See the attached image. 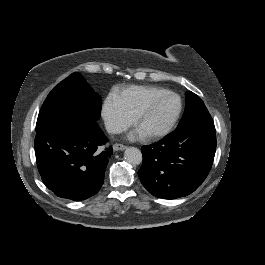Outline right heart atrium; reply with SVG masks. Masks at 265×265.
I'll use <instances>...</instances> for the list:
<instances>
[{
  "mask_svg": "<svg viewBox=\"0 0 265 265\" xmlns=\"http://www.w3.org/2000/svg\"><path fill=\"white\" fill-rule=\"evenodd\" d=\"M102 120L105 129L110 134L122 133L134 122V118L126 114L114 99L105 102L102 109Z\"/></svg>",
  "mask_w": 265,
  "mask_h": 265,
  "instance_id": "right-heart-atrium-1",
  "label": "right heart atrium"
}]
</instances>
